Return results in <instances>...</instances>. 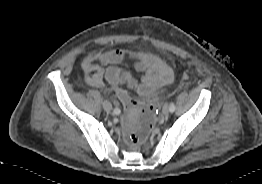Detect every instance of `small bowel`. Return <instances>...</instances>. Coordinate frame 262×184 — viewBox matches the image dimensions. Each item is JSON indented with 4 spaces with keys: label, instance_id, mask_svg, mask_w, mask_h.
I'll use <instances>...</instances> for the list:
<instances>
[{
    "label": "small bowel",
    "instance_id": "1",
    "mask_svg": "<svg viewBox=\"0 0 262 184\" xmlns=\"http://www.w3.org/2000/svg\"><path fill=\"white\" fill-rule=\"evenodd\" d=\"M127 60L134 61L136 71L141 74L140 79L119 67V64ZM82 70L85 73V82L90 86L102 87L106 80L112 86L126 85L142 96L152 94L173 80L172 69L158 56L134 54L124 50H100L88 55L82 61Z\"/></svg>",
    "mask_w": 262,
    "mask_h": 184
}]
</instances>
